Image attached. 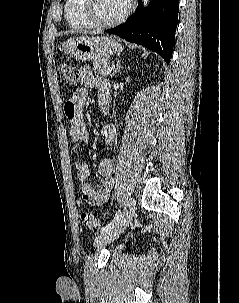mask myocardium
<instances>
[{
  "mask_svg": "<svg viewBox=\"0 0 239 303\" xmlns=\"http://www.w3.org/2000/svg\"><path fill=\"white\" fill-rule=\"evenodd\" d=\"M82 1H83L81 4L82 15L86 20V22L95 28H108V27L119 25L127 19V17L129 16L132 10V3L130 1L127 5L126 10L116 19L110 21H100L94 15L96 0H82Z\"/></svg>",
  "mask_w": 239,
  "mask_h": 303,
  "instance_id": "obj_1",
  "label": "myocardium"
}]
</instances>
